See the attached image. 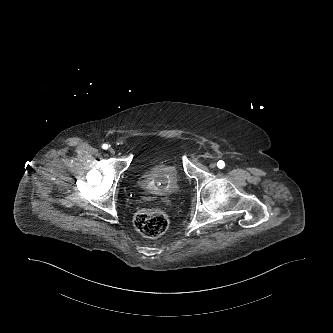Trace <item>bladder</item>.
<instances>
[{
	"mask_svg": "<svg viewBox=\"0 0 333 333\" xmlns=\"http://www.w3.org/2000/svg\"><path fill=\"white\" fill-rule=\"evenodd\" d=\"M144 191L155 195L168 196L180 189V175L173 161L157 162L149 166L137 180Z\"/></svg>",
	"mask_w": 333,
	"mask_h": 333,
	"instance_id": "obj_1",
	"label": "bladder"
}]
</instances>
